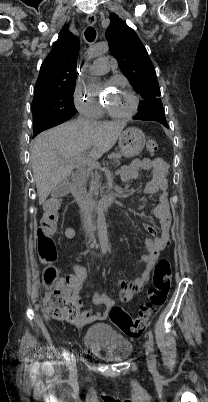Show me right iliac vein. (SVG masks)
<instances>
[{
	"label": "right iliac vein",
	"mask_w": 208,
	"mask_h": 402,
	"mask_svg": "<svg viewBox=\"0 0 208 402\" xmlns=\"http://www.w3.org/2000/svg\"><path fill=\"white\" fill-rule=\"evenodd\" d=\"M68 367L70 372L74 373L76 371V361L74 356L72 355L68 362Z\"/></svg>",
	"instance_id": "right-iliac-vein-1"
}]
</instances>
